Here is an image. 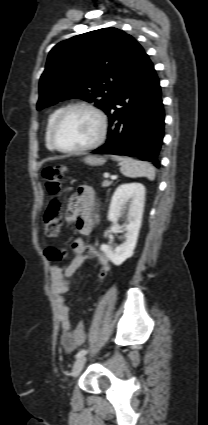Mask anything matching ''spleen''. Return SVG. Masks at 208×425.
<instances>
[{
	"label": "spleen",
	"mask_w": 208,
	"mask_h": 425,
	"mask_svg": "<svg viewBox=\"0 0 208 425\" xmlns=\"http://www.w3.org/2000/svg\"><path fill=\"white\" fill-rule=\"evenodd\" d=\"M114 159L120 162L121 173L126 177H146L151 181L155 179V168L148 162L120 156H114Z\"/></svg>",
	"instance_id": "3e777b00"
}]
</instances>
